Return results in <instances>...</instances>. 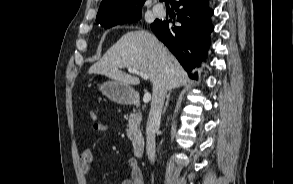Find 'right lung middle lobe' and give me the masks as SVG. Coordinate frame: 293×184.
<instances>
[{
    "label": "right lung middle lobe",
    "mask_w": 293,
    "mask_h": 184,
    "mask_svg": "<svg viewBox=\"0 0 293 184\" xmlns=\"http://www.w3.org/2000/svg\"><path fill=\"white\" fill-rule=\"evenodd\" d=\"M141 15H142V13H138V14L132 15L130 17L121 19L119 21H116L114 23H110V24L103 25V26L105 28H110V27L118 25V24H124V23H128V22H135V21H137V20H139L141 18Z\"/></svg>",
    "instance_id": "dd1d6c3e"
}]
</instances>
